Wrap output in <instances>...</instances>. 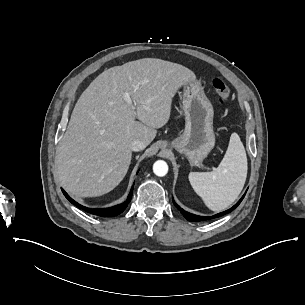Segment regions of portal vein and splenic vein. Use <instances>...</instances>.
I'll return each instance as SVG.
<instances>
[{"label": "portal vein and splenic vein", "mask_w": 305, "mask_h": 305, "mask_svg": "<svg viewBox=\"0 0 305 305\" xmlns=\"http://www.w3.org/2000/svg\"><path fill=\"white\" fill-rule=\"evenodd\" d=\"M135 88L136 89H138L139 88V84H137L136 86H135ZM123 99H124V101L127 103V104H132V99H131V97H130V94L128 93V92H124L123 93Z\"/></svg>", "instance_id": "18ae733b"}]
</instances>
